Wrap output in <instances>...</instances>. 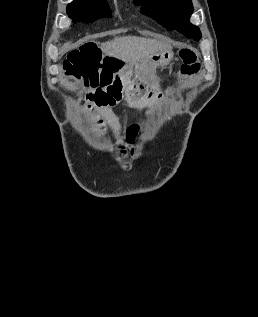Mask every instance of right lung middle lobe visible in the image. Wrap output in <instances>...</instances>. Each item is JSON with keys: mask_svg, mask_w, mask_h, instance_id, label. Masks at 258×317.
Instances as JSON below:
<instances>
[{"mask_svg": "<svg viewBox=\"0 0 258 317\" xmlns=\"http://www.w3.org/2000/svg\"><path fill=\"white\" fill-rule=\"evenodd\" d=\"M67 13L81 22H93L111 16L106 0H74L68 4Z\"/></svg>", "mask_w": 258, "mask_h": 317, "instance_id": "right-lung-middle-lobe-1", "label": "right lung middle lobe"}]
</instances>
